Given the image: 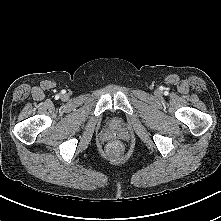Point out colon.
I'll list each match as a JSON object with an SVG mask.
<instances>
[{"instance_id":"obj_1","label":"colon","mask_w":221,"mask_h":221,"mask_svg":"<svg viewBox=\"0 0 221 221\" xmlns=\"http://www.w3.org/2000/svg\"><path fill=\"white\" fill-rule=\"evenodd\" d=\"M108 152L113 155H119L123 152V145L119 141H113L108 145Z\"/></svg>"}]
</instances>
